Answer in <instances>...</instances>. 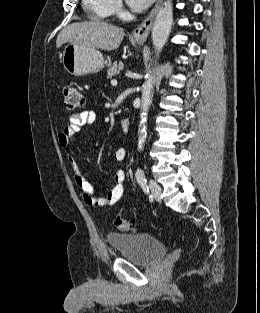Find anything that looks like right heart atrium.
I'll use <instances>...</instances> for the list:
<instances>
[{
	"label": "right heart atrium",
	"instance_id": "1",
	"mask_svg": "<svg viewBox=\"0 0 260 313\" xmlns=\"http://www.w3.org/2000/svg\"><path fill=\"white\" fill-rule=\"evenodd\" d=\"M112 5V11L115 14H120L122 11V4L120 0H110Z\"/></svg>",
	"mask_w": 260,
	"mask_h": 313
}]
</instances>
